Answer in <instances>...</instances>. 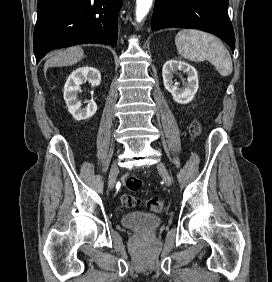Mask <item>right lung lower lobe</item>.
<instances>
[{
	"instance_id": "right-lung-lower-lobe-1",
	"label": "right lung lower lobe",
	"mask_w": 272,
	"mask_h": 282,
	"mask_svg": "<svg viewBox=\"0 0 272 282\" xmlns=\"http://www.w3.org/2000/svg\"><path fill=\"white\" fill-rule=\"evenodd\" d=\"M123 0H38L34 54L84 43L116 46L117 15Z\"/></svg>"
}]
</instances>
